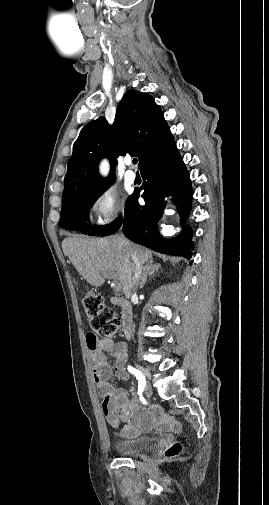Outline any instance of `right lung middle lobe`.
Masks as SVG:
<instances>
[{"label":"right lung middle lobe","mask_w":269,"mask_h":505,"mask_svg":"<svg viewBox=\"0 0 269 505\" xmlns=\"http://www.w3.org/2000/svg\"><path fill=\"white\" fill-rule=\"evenodd\" d=\"M107 187L108 184L99 188L82 191L62 202L60 227L70 230L79 229L84 234L92 236H107L116 232L121 220H116L106 226H89L85 224V221L88 219V209L92 207L93 203Z\"/></svg>","instance_id":"right-lung-middle-lobe-1"}]
</instances>
